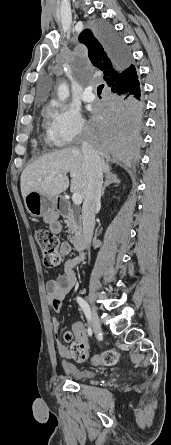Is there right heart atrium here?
Instances as JSON below:
<instances>
[{
  "instance_id": "d8ad5b80",
  "label": "right heart atrium",
  "mask_w": 171,
  "mask_h": 445,
  "mask_svg": "<svg viewBox=\"0 0 171 445\" xmlns=\"http://www.w3.org/2000/svg\"><path fill=\"white\" fill-rule=\"evenodd\" d=\"M52 131L60 145L73 143L84 135L85 123L80 113L69 107H57L52 111Z\"/></svg>"
}]
</instances>
